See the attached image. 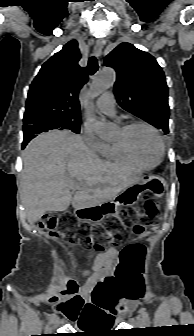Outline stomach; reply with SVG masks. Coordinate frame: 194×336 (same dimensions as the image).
<instances>
[{"mask_svg":"<svg viewBox=\"0 0 194 336\" xmlns=\"http://www.w3.org/2000/svg\"><path fill=\"white\" fill-rule=\"evenodd\" d=\"M164 189L165 184L160 177L146 175L138 183L122 191L112 200L93 207L75 209L74 214L79 221L100 222L105 216L116 215L120 206L135 204L143 192L149 191L155 196L160 197L163 195Z\"/></svg>","mask_w":194,"mask_h":336,"instance_id":"stomach-1","label":"stomach"}]
</instances>
